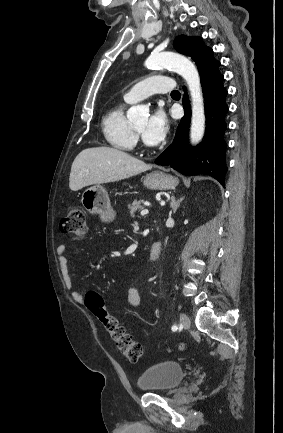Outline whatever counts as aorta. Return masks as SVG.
Returning a JSON list of instances; mask_svg holds the SVG:
<instances>
[{
  "mask_svg": "<svg viewBox=\"0 0 283 433\" xmlns=\"http://www.w3.org/2000/svg\"><path fill=\"white\" fill-rule=\"evenodd\" d=\"M145 66L149 69L170 68L184 78L191 95L190 141L194 145L198 144L205 133L206 116L200 76L195 65L180 54L161 52L152 53L145 61ZM148 112L145 106H132L127 112V118L130 121H137L148 116Z\"/></svg>",
  "mask_w": 283,
  "mask_h": 433,
  "instance_id": "aorta-1",
  "label": "aorta"
}]
</instances>
